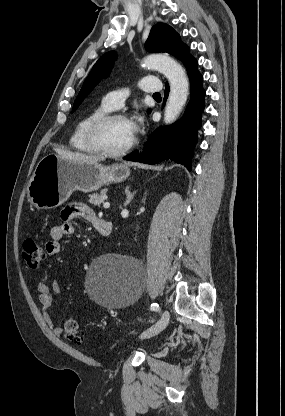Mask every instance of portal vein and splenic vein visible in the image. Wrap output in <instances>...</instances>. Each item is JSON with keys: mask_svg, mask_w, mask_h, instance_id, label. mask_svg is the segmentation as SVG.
<instances>
[{"mask_svg": "<svg viewBox=\"0 0 285 416\" xmlns=\"http://www.w3.org/2000/svg\"><path fill=\"white\" fill-rule=\"evenodd\" d=\"M103 208H110L109 202H105V204H103Z\"/></svg>", "mask_w": 285, "mask_h": 416, "instance_id": "portal-vein-and-splenic-vein-1", "label": "portal vein and splenic vein"}]
</instances>
